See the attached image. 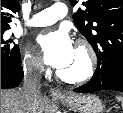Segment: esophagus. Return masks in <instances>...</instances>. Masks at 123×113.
Returning a JSON list of instances; mask_svg holds the SVG:
<instances>
[{
	"instance_id": "34e87169",
	"label": "esophagus",
	"mask_w": 123,
	"mask_h": 113,
	"mask_svg": "<svg viewBox=\"0 0 123 113\" xmlns=\"http://www.w3.org/2000/svg\"><path fill=\"white\" fill-rule=\"evenodd\" d=\"M49 92L52 96H62L63 95V93L56 88H50Z\"/></svg>"
}]
</instances>
